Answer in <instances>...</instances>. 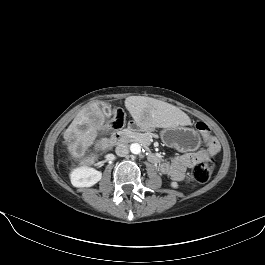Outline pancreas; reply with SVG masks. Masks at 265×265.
Returning a JSON list of instances; mask_svg holds the SVG:
<instances>
[{
    "label": "pancreas",
    "mask_w": 265,
    "mask_h": 265,
    "mask_svg": "<svg viewBox=\"0 0 265 265\" xmlns=\"http://www.w3.org/2000/svg\"><path fill=\"white\" fill-rule=\"evenodd\" d=\"M129 137L135 141L142 143L145 146H148L150 143L151 136L148 134H142L138 132H130Z\"/></svg>",
    "instance_id": "1"
}]
</instances>
